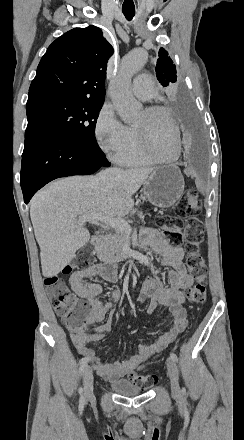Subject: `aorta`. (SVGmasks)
Listing matches in <instances>:
<instances>
[{
    "mask_svg": "<svg viewBox=\"0 0 244 440\" xmlns=\"http://www.w3.org/2000/svg\"><path fill=\"white\" fill-rule=\"evenodd\" d=\"M147 53L136 49L128 53L122 60L117 75L110 83V93L114 107L125 123H133L141 111L142 105L134 98L131 91V80L146 63Z\"/></svg>",
    "mask_w": 244,
    "mask_h": 440,
    "instance_id": "aorta-1",
    "label": "aorta"
}]
</instances>
